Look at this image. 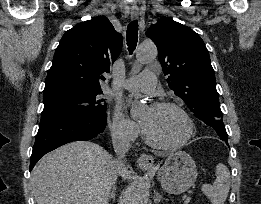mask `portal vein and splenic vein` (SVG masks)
<instances>
[{
  "label": "portal vein and splenic vein",
  "instance_id": "18ae733b",
  "mask_svg": "<svg viewBox=\"0 0 261 204\" xmlns=\"http://www.w3.org/2000/svg\"><path fill=\"white\" fill-rule=\"evenodd\" d=\"M190 200H191L190 196H188L186 194L183 196V204H189Z\"/></svg>",
  "mask_w": 261,
  "mask_h": 204
}]
</instances>
